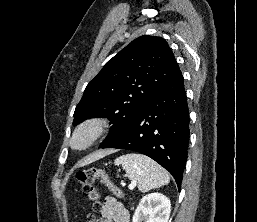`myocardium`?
Listing matches in <instances>:
<instances>
[{
	"label": "myocardium",
	"mask_w": 257,
	"mask_h": 222,
	"mask_svg": "<svg viewBox=\"0 0 257 222\" xmlns=\"http://www.w3.org/2000/svg\"><path fill=\"white\" fill-rule=\"evenodd\" d=\"M109 121L102 116H93L79 123L70 138V146L74 150H86L93 146L108 130ZM88 134V140L81 146L75 144L76 138L82 134Z\"/></svg>",
	"instance_id": "myocardium-1"
}]
</instances>
